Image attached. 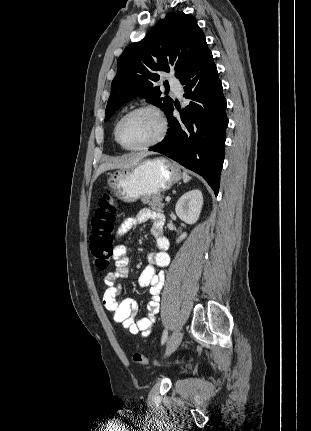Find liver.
Masks as SVG:
<instances>
[{
  "mask_svg": "<svg viewBox=\"0 0 311 431\" xmlns=\"http://www.w3.org/2000/svg\"><path fill=\"white\" fill-rule=\"evenodd\" d=\"M152 152H138V154H129V156H122L118 162H114V164H110V162H104V164H100L98 170H96V174L94 176L95 180L107 170H123V168H134V166H138L143 162V158L146 156H150Z\"/></svg>",
  "mask_w": 311,
  "mask_h": 431,
  "instance_id": "1",
  "label": "liver"
}]
</instances>
